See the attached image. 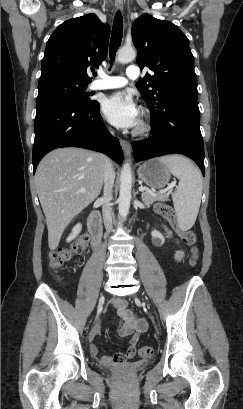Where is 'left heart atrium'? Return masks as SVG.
<instances>
[{
	"instance_id": "1",
	"label": "left heart atrium",
	"mask_w": 243,
	"mask_h": 409,
	"mask_svg": "<svg viewBox=\"0 0 243 409\" xmlns=\"http://www.w3.org/2000/svg\"><path fill=\"white\" fill-rule=\"evenodd\" d=\"M106 119L116 127L128 128L137 124L138 109L133 98L124 91L109 95L102 105Z\"/></svg>"
}]
</instances>
